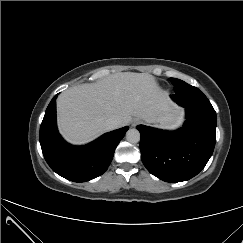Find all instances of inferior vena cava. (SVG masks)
Segmentation results:
<instances>
[{
	"label": "inferior vena cava",
	"instance_id": "inferior-vena-cava-1",
	"mask_svg": "<svg viewBox=\"0 0 243 243\" xmlns=\"http://www.w3.org/2000/svg\"><path fill=\"white\" fill-rule=\"evenodd\" d=\"M119 125H120V120L116 117H111V118L106 120V126L110 130L118 128Z\"/></svg>",
	"mask_w": 243,
	"mask_h": 243
}]
</instances>
